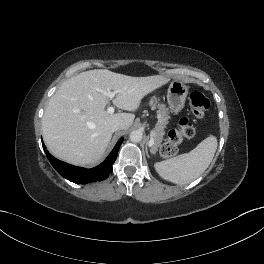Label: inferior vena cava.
<instances>
[{
  "instance_id": "602c4592",
  "label": "inferior vena cava",
  "mask_w": 264,
  "mask_h": 264,
  "mask_svg": "<svg viewBox=\"0 0 264 264\" xmlns=\"http://www.w3.org/2000/svg\"><path fill=\"white\" fill-rule=\"evenodd\" d=\"M121 129H124V124L123 123H116V124H114L112 126V131L113 132L121 130Z\"/></svg>"
}]
</instances>
